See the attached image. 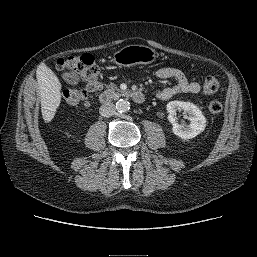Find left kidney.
<instances>
[{
    "instance_id": "obj_1",
    "label": "left kidney",
    "mask_w": 257,
    "mask_h": 257,
    "mask_svg": "<svg viewBox=\"0 0 257 257\" xmlns=\"http://www.w3.org/2000/svg\"><path fill=\"white\" fill-rule=\"evenodd\" d=\"M167 111L169 113L168 120L172 123L173 133L182 139H191L203 132L206 127V118L201 110L190 102L171 101L167 104ZM184 111L187 114L190 123L188 125L176 122V112Z\"/></svg>"
}]
</instances>
